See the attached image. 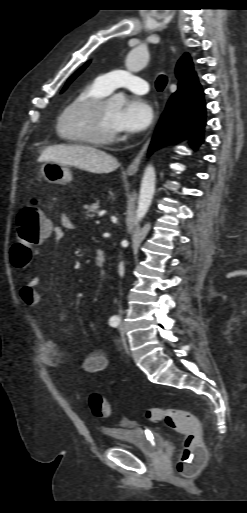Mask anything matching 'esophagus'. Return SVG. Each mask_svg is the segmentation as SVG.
<instances>
[{"instance_id": "1", "label": "esophagus", "mask_w": 247, "mask_h": 513, "mask_svg": "<svg viewBox=\"0 0 247 513\" xmlns=\"http://www.w3.org/2000/svg\"><path fill=\"white\" fill-rule=\"evenodd\" d=\"M150 140H151V137L145 142V144L142 146L141 150L138 152L137 156L133 159V161L128 166V168L126 170V173L128 175H134L137 172L138 167L141 162V159L143 158V156L149 146Z\"/></svg>"}]
</instances>
